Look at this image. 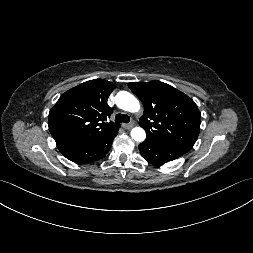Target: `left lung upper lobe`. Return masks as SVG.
Listing matches in <instances>:
<instances>
[{"label":"left lung upper lobe","mask_w":253,"mask_h":253,"mask_svg":"<svg viewBox=\"0 0 253 253\" xmlns=\"http://www.w3.org/2000/svg\"><path fill=\"white\" fill-rule=\"evenodd\" d=\"M142 101L144 113L139 124L146 140L176 146L187 152L200 131V112L195 102L171 85L160 81L128 83Z\"/></svg>","instance_id":"1"}]
</instances>
